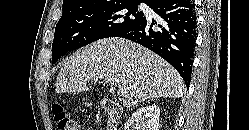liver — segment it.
<instances>
[{
    "label": "liver",
    "mask_w": 249,
    "mask_h": 130,
    "mask_svg": "<svg viewBox=\"0 0 249 130\" xmlns=\"http://www.w3.org/2000/svg\"><path fill=\"white\" fill-rule=\"evenodd\" d=\"M90 79L124 87V107L158 97L179 98L184 91L181 76L168 62L123 38L96 41L64 60L56 92L88 91Z\"/></svg>",
    "instance_id": "liver-1"
}]
</instances>
